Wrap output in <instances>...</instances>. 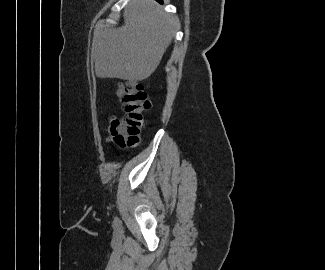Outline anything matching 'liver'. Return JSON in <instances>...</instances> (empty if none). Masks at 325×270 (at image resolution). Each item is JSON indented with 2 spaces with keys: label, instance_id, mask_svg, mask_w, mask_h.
I'll use <instances>...</instances> for the list:
<instances>
[{
  "label": "liver",
  "instance_id": "liver-1",
  "mask_svg": "<svg viewBox=\"0 0 325 270\" xmlns=\"http://www.w3.org/2000/svg\"><path fill=\"white\" fill-rule=\"evenodd\" d=\"M124 20L122 27L94 32L95 73L99 78L143 81L158 67L177 22L154 0H134Z\"/></svg>",
  "mask_w": 325,
  "mask_h": 270
}]
</instances>
